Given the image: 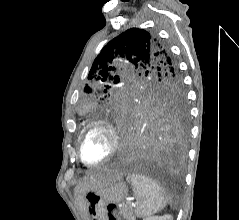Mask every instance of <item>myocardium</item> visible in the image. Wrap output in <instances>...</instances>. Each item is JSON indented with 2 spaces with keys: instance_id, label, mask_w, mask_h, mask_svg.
Masks as SVG:
<instances>
[{
  "instance_id": "1",
  "label": "myocardium",
  "mask_w": 239,
  "mask_h": 220,
  "mask_svg": "<svg viewBox=\"0 0 239 220\" xmlns=\"http://www.w3.org/2000/svg\"><path fill=\"white\" fill-rule=\"evenodd\" d=\"M96 127H101L108 131V133L110 135V139H111L110 150L107 153V155L105 157H103L102 159H100L96 162H88L84 159V157L82 155V143H83V139L86 136V134ZM118 148H119V136H118L117 130L109 121L104 120V119H98V120H94V121L88 123L84 127V129L81 131L79 138H78V158L84 165L89 166V167L98 166V165H101V164L107 162L116 154V152L118 151Z\"/></svg>"
}]
</instances>
